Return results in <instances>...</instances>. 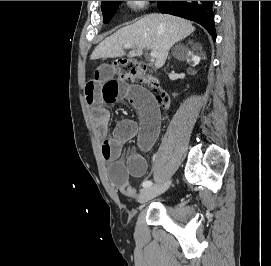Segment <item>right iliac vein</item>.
Returning <instances> with one entry per match:
<instances>
[{
  "label": "right iliac vein",
  "instance_id": "obj_1",
  "mask_svg": "<svg viewBox=\"0 0 271 266\" xmlns=\"http://www.w3.org/2000/svg\"><path fill=\"white\" fill-rule=\"evenodd\" d=\"M169 185H170V181L166 182L165 184L159 187L144 188L140 192V195L138 197V202L143 204L147 202L148 200L164 193L168 189Z\"/></svg>",
  "mask_w": 271,
  "mask_h": 266
}]
</instances>
